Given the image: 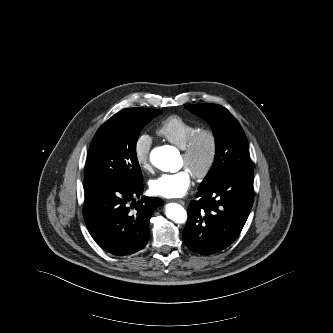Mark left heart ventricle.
Wrapping results in <instances>:
<instances>
[{"instance_id":"obj_1","label":"left heart ventricle","mask_w":333,"mask_h":333,"mask_svg":"<svg viewBox=\"0 0 333 333\" xmlns=\"http://www.w3.org/2000/svg\"><path fill=\"white\" fill-rule=\"evenodd\" d=\"M206 156L207 141L203 140L190 161H186L183 156L181 157V165L184 166L190 173L193 171H198L203 166Z\"/></svg>"}]
</instances>
